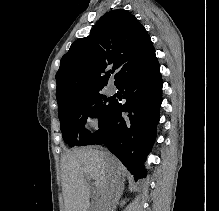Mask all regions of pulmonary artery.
<instances>
[{
    "mask_svg": "<svg viewBox=\"0 0 219 211\" xmlns=\"http://www.w3.org/2000/svg\"><path fill=\"white\" fill-rule=\"evenodd\" d=\"M117 89L114 86H110L108 88V94L109 95H114L116 93Z\"/></svg>",
    "mask_w": 219,
    "mask_h": 211,
    "instance_id": "pulmonary-artery-1",
    "label": "pulmonary artery"
}]
</instances>
